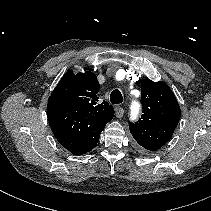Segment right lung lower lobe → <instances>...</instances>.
<instances>
[{"label": "right lung lower lobe", "instance_id": "1", "mask_svg": "<svg viewBox=\"0 0 211 211\" xmlns=\"http://www.w3.org/2000/svg\"><path fill=\"white\" fill-rule=\"evenodd\" d=\"M75 107V103L70 99L61 98L57 96L49 97L47 105V114L52 131H67L71 129V126L76 119L73 114ZM101 132L102 131H99L95 134L86 136L83 139V142L77 148L69 151L76 155H81L89 152L98 143Z\"/></svg>", "mask_w": 211, "mask_h": 211}]
</instances>
